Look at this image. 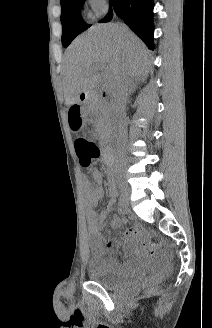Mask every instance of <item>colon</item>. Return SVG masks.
Segmentation results:
<instances>
[{
    "label": "colon",
    "mask_w": 212,
    "mask_h": 328,
    "mask_svg": "<svg viewBox=\"0 0 212 328\" xmlns=\"http://www.w3.org/2000/svg\"><path fill=\"white\" fill-rule=\"evenodd\" d=\"M74 149L82 167H89L100 155V150L95 142L84 136L75 138Z\"/></svg>",
    "instance_id": "obj_1"
}]
</instances>
